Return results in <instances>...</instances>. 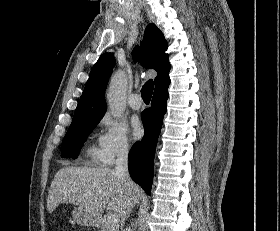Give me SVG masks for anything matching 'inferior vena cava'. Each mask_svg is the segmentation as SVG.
Masks as SVG:
<instances>
[{
  "mask_svg": "<svg viewBox=\"0 0 280 231\" xmlns=\"http://www.w3.org/2000/svg\"><path fill=\"white\" fill-rule=\"evenodd\" d=\"M116 175L124 177L127 183H132L130 175L128 173V143L127 141H121L117 149V159L114 169ZM125 231H132L131 227H126Z\"/></svg>",
  "mask_w": 280,
  "mask_h": 231,
  "instance_id": "1",
  "label": "inferior vena cava"
}]
</instances>
